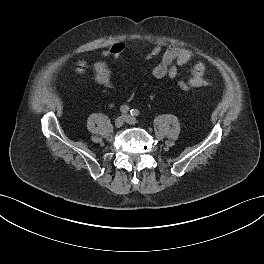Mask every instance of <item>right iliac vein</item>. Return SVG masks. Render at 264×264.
<instances>
[{
    "mask_svg": "<svg viewBox=\"0 0 264 264\" xmlns=\"http://www.w3.org/2000/svg\"><path fill=\"white\" fill-rule=\"evenodd\" d=\"M124 117L123 116H120L118 117L116 120H115V126L117 128H120L123 124H124Z\"/></svg>",
    "mask_w": 264,
    "mask_h": 264,
    "instance_id": "right-iliac-vein-1",
    "label": "right iliac vein"
}]
</instances>
